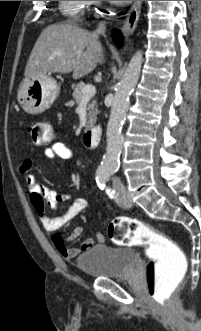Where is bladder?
Listing matches in <instances>:
<instances>
[{"label":"bladder","instance_id":"1","mask_svg":"<svg viewBox=\"0 0 201 331\" xmlns=\"http://www.w3.org/2000/svg\"><path fill=\"white\" fill-rule=\"evenodd\" d=\"M135 251L128 247L97 244L76 259L77 268L90 278L125 277L135 262Z\"/></svg>","mask_w":201,"mask_h":331}]
</instances>
